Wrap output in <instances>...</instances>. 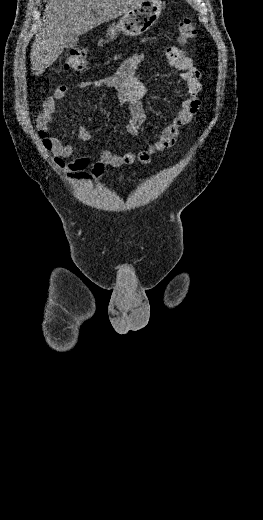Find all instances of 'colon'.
<instances>
[{"label":"colon","mask_w":263,"mask_h":520,"mask_svg":"<svg viewBox=\"0 0 263 520\" xmlns=\"http://www.w3.org/2000/svg\"><path fill=\"white\" fill-rule=\"evenodd\" d=\"M197 32L196 25L190 16H185L178 24V39L181 44H185L195 37ZM87 67L86 50L77 48L70 52L64 62V68L73 73L79 74ZM41 136L44 133L40 132ZM45 145L50 146L48 140H45Z\"/></svg>","instance_id":"5ec220e1"}]
</instances>
